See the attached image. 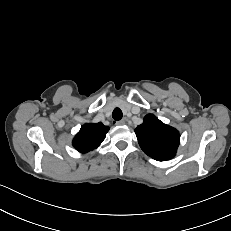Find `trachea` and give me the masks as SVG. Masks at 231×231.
Returning a JSON list of instances; mask_svg holds the SVG:
<instances>
[{"label": "trachea", "mask_w": 231, "mask_h": 231, "mask_svg": "<svg viewBox=\"0 0 231 231\" xmlns=\"http://www.w3.org/2000/svg\"><path fill=\"white\" fill-rule=\"evenodd\" d=\"M112 117L114 120H121L123 117V113L120 108H115L112 112Z\"/></svg>", "instance_id": "3493384b"}]
</instances>
